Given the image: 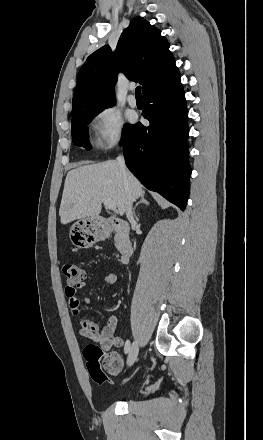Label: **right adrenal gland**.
I'll use <instances>...</instances> for the list:
<instances>
[{"label":"right adrenal gland","instance_id":"1","mask_svg":"<svg viewBox=\"0 0 263 440\" xmlns=\"http://www.w3.org/2000/svg\"><path fill=\"white\" fill-rule=\"evenodd\" d=\"M145 204V205H149V202L145 199V197H144V195H142L141 197H140V200L136 203V205H135V207L133 208V214H134V217H135V219L138 221L139 219H138V217H137V215H136V208H137V206L139 205V204Z\"/></svg>","mask_w":263,"mask_h":440}]
</instances>
